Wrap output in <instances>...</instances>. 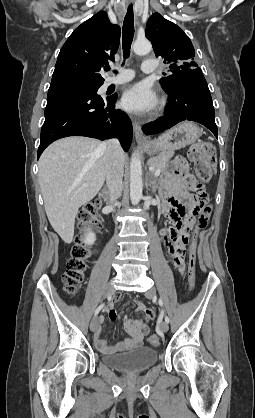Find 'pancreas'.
Returning a JSON list of instances; mask_svg holds the SVG:
<instances>
[{
    "instance_id": "pancreas-1",
    "label": "pancreas",
    "mask_w": 255,
    "mask_h": 418,
    "mask_svg": "<svg viewBox=\"0 0 255 418\" xmlns=\"http://www.w3.org/2000/svg\"><path fill=\"white\" fill-rule=\"evenodd\" d=\"M174 152L162 153L156 157H153L148 160V164L153 168V171L160 169L164 170L173 157Z\"/></svg>"
}]
</instances>
